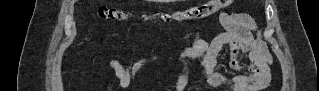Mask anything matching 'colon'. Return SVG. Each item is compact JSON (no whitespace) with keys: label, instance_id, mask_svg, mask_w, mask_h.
<instances>
[{"label":"colon","instance_id":"1","mask_svg":"<svg viewBox=\"0 0 319 91\" xmlns=\"http://www.w3.org/2000/svg\"><path fill=\"white\" fill-rule=\"evenodd\" d=\"M228 1L226 0H212L207 1L201 4H197L185 9L175 10L170 12H164L159 14L158 16L153 15H144L143 19H154L158 17L164 21H186V20H195L207 17L222 7L227 5ZM97 16L102 20H113V21H122L129 18V14L121 9H116L113 7L104 6L101 7L98 12ZM265 65H269L270 58H265Z\"/></svg>","mask_w":319,"mask_h":91}]
</instances>
